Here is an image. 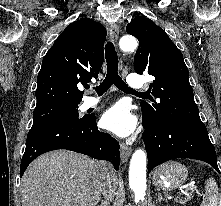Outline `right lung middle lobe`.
<instances>
[{
    "instance_id": "right-lung-middle-lobe-1",
    "label": "right lung middle lobe",
    "mask_w": 221,
    "mask_h": 206,
    "mask_svg": "<svg viewBox=\"0 0 221 206\" xmlns=\"http://www.w3.org/2000/svg\"><path fill=\"white\" fill-rule=\"evenodd\" d=\"M78 104H54L36 107L34 109L33 125L59 121V120H80L84 117H79Z\"/></svg>"
}]
</instances>
